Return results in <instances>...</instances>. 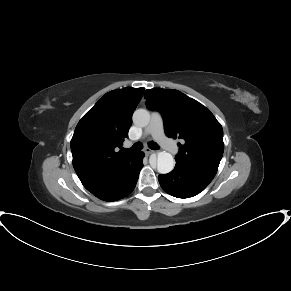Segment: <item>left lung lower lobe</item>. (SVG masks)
<instances>
[{"mask_svg":"<svg viewBox=\"0 0 291 291\" xmlns=\"http://www.w3.org/2000/svg\"><path fill=\"white\" fill-rule=\"evenodd\" d=\"M217 171L176 161L173 171L158 176L161 187L177 198L197 195L212 181Z\"/></svg>","mask_w":291,"mask_h":291,"instance_id":"1","label":"left lung lower lobe"}]
</instances>
